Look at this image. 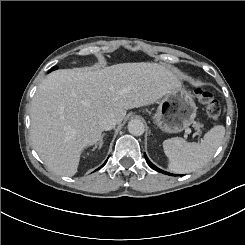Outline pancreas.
Instances as JSON below:
<instances>
[{"label": "pancreas", "mask_w": 245, "mask_h": 245, "mask_svg": "<svg viewBox=\"0 0 245 245\" xmlns=\"http://www.w3.org/2000/svg\"><path fill=\"white\" fill-rule=\"evenodd\" d=\"M192 127H194L196 133H199L201 131L202 125L199 122H193Z\"/></svg>", "instance_id": "obj_1"}]
</instances>
